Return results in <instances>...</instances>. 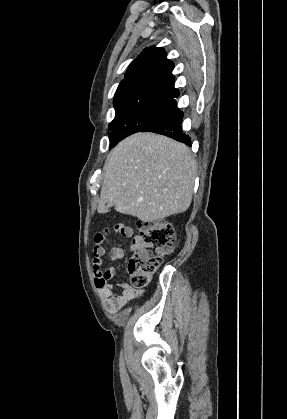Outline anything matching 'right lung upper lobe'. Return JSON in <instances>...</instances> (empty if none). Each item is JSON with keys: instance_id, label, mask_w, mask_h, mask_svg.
Returning a JSON list of instances; mask_svg holds the SVG:
<instances>
[{"instance_id": "right-lung-upper-lobe-1", "label": "right lung upper lobe", "mask_w": 287, "mask_h": 419, "mask_svg": "<svg viewBox=\"0 0 287 419\" xmlns=\"http://www.w3.org/2000/svg\"><path fill=\"white\" fill-rule=\"evenodd\" d=\"M174 63L163 48L145 49L128 67L115 96L116 112L136 106L176 104L179 91L174 88Z\"/></svg>"}]
</instances>
